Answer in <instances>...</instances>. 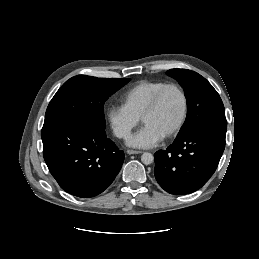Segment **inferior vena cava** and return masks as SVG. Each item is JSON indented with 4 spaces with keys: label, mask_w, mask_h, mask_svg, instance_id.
<instances>
[{
    "label": "inferior vena cava",
    "mask_w": 259,
    "mask_h": 259,
    "mask_svg": "<svg viewBox=\"0 0 259 259\" xmlns=\"http://www.w3.org/2000/svg\"><path fill=\"white\" fill-rule=\"evenodd\" d=\"M122 135L126 136V135H127V133H123Z\"/></svg>",
    "instance_id": "602c4592"
}]
</instances>
